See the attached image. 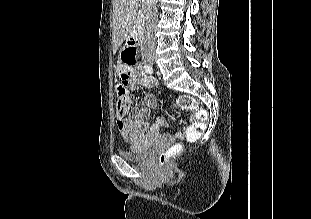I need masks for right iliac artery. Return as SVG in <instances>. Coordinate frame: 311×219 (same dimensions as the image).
Masks as SVG:
<instances>
[{
	"label": "right iliac artery",
	"instance_id": "82829eb1",
	"mask_svg": "<svg viewBox=\"0 0 311 219\" xmlns=\"http://www.w3.org/2000/svg\"><path fill=\"white\" fill-rule=\"evenodd\" d=\"M144 69H145V71H146L147 73H149V74H152V73H153V68H152V66L149 65V64H146V65L144 66Z\"/></svg>",
	"mask_w": 311,
	"mask_h": 219
}]
</instances>
